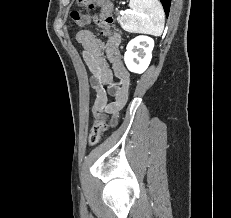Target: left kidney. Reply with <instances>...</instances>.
Instances as JSON below:
<instances>
[{
  "label": "left kidney",
  "mask_w": 231,
  "mask_h": 218,
  "mask_svg": "<svg viewBox=\"0 0 231 218\" xmlns=\"http://www.w3.org/2000/svg\"><path fill=\"white\" fill-rule=\"evenodd\" d=\"M154 40L145 35L132 39L124 55V61L129 71L143 73L149 66L152 58Z\"/></svg>",
  "instance_id": "5707ae66"
}]
</instances>
